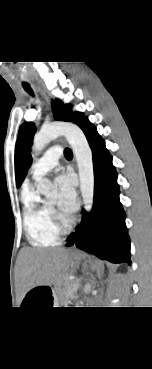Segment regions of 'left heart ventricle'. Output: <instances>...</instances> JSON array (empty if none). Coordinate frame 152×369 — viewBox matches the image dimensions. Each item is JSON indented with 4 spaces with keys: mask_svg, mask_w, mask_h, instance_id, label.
<instances>
[{
    "mask_svg": "<svg viewBox=\"0 0 152 369\" xmlns=\"http://www.w3.org/2000/svg\"><path fill=\"white\" fill-rule=\"evenodd\" d=\"M50 205H51L52 207H56V206L58 205L57 200H53V201H51V202H50Z\"/></svg>",
    "mask_w": 152,
    "mask_h": 369,
    "instance_id": "1",
    "label": "left heart ventricle"
}]
</instances>
